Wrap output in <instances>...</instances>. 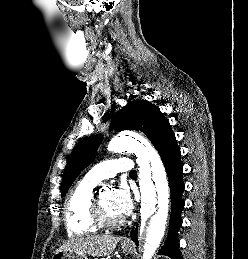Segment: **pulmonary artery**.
Segmentation results:
<instances>
[{
    "instance_id": "obj_1",
    "label": "pulmonary artery",
    "mask_w": 248,
    "mask_h": 259,
    "mask_svg": "<svg viewBox=\"0 0 248 259\" xmlns=\"http://www.w3.org/2000/svg\"><path fill=\"white\" fill-rule=\"evenodd\" d=\"M132 170H134L133 161L123 157L95 165L86 173L85 177L99 183L104 179L114 177L117 173H130Z\"/></svg>"
}]
</instances>
